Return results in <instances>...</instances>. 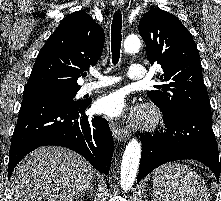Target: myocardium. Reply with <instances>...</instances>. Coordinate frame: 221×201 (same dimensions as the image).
<instances>
[{"instance_id":"obj_1","label":"myocardium","mask_w":221,"mask_h":201,"mask_svg":"<svg viewBox=\"0 0 221 201\" xmlns=\"http://www.w3.org/2000/svg\"><path fill=\"white\" fill-rule=\"evenodd\" d=\"M163 114L154 103H146L142 106L133 126L140 130H153L161 125Z\"/></svg>"}]
</instances>
